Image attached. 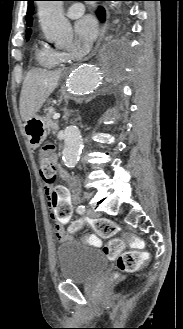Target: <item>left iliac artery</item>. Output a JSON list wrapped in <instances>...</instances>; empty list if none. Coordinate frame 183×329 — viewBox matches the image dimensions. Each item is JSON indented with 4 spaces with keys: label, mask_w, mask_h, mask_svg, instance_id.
<instances>
[{
    "label": "left iliac artery",
    "mask_w": 183,
    "mask_h": 329,
    "mask_svg": "<svg viewBox=\"0 0 183 329\" xmlns=\"http://www.w3.org/2000/svg\"><path fill=\"white\" fill-rule=\"evenodd\" d=\"M85 212V206L84 205H80L77 208V213L78 214H83Z\"/></svg>",
    "instance_id": "1"
}]
</instances>
